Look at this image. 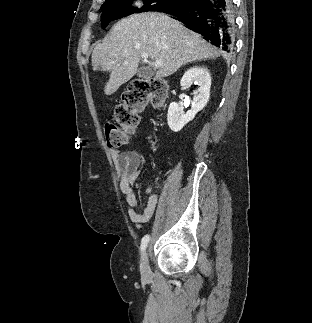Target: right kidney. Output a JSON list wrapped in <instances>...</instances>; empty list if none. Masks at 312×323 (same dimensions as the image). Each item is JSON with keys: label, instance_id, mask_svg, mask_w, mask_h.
<instances>
[{"label": "right kidney", "instance_id": "1", "mask_svg": "<svg viewBox=\"0 0 312 323\" xmlns=\"http://www.w3.org/2000/svg\"><path fill=\"white\" fill-rule=\"evenodd\" d=\"M180 84L184 90L189 88L191 84H196L199 88L194 90L191 110H188L186 114L183 112V108H179L176 102L170 104L167 114V124L173 132H180L185 124L191 122V120L195 118L197 112L203 110L207 102H209L211 86L209 70L204 68V66H193V68H190V70L185 72L183 78H181Z\"/></svg>", "mask_w": 312, "mask_h": 323}]
</instances>
